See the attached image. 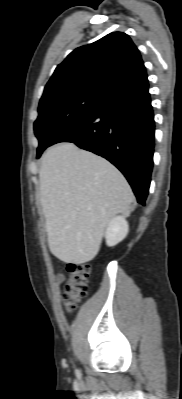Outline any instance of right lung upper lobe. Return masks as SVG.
<instances>
[{"label": "right lung upper lobe", "instance_id": "right-lung-upper-lobe-1", "mask_svg": "<svg viewBox=\"0 0 182 399\" xmlns=\"http://www.w3.org/2000/svg\"><path fill=\"white\" fill-rule=\"evenodd\" d=\"M147 81L137 47L127 34L113 32L71 52L55 69L40 102L80 93L105 98Z\"/></svg>", "mask_w": 182, "mask_h": 399}]
</instances>
